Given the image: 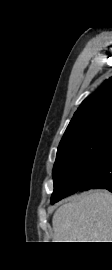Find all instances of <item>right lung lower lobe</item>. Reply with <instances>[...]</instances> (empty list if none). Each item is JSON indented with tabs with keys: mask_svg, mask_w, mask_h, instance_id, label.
I'll list each match as a JSON object with an SVG mask.
<instances>
[{
	"mask_svg": "<svg viewBox=\"0 0 112 270\" xmlns=\"http://www.w3.org/2000/svg\"><path fill=\"white\" fill-rule=\"evenodd\" d=\"M81 189H107L112 192V143L103 156L82 175Z\"/></svg>",
	"mask_w": 112,
	"mask_h": 270,
	"instance_id": "right-lung-lower-lobe-1",
	"label": "right lung lower lobe"
}]
</instances>
